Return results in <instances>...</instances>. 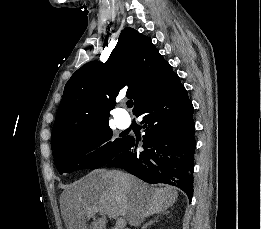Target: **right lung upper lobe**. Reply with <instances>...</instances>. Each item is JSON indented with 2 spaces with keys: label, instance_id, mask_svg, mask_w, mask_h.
Wrapping results in <instances>:
<instances>
[{
  "label": "right lung upper lobe",
  "instance_id": "cb5924a9",
  "mask_svg": "<svg viewBox=\"0 0 261 229\" xmlns=\"http://www.w3.org/2000/svg\"><path fill=\"white\" fill-rule=\"evenodd\" d=\"M176 76L150 38L125 28L105 63L85 64L66 83L53 125L52 150L67 138V128L108 122L121 90L134 99L137 112Z\"/></svg>",
  "mask_w": 261,
  "mask_h": 229
}]
</instances>
